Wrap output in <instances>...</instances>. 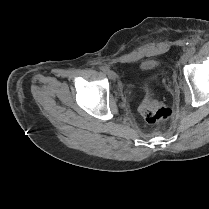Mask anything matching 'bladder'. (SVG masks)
Returning a JSON list of instances; mask_svg holds the SVG:
<instances>
[{
  "label": "bladder",
  "mask_w": 209,
  "mask_h": 209,
  "mask_svg": "<svg viewBox=\"0 0 209 209\" xmlns=\"http://www.w3.org/2000/svg\"><path fill=\"white\" fill-rule=\"evenodd\" d=\"M157 65V61L154 59H146L143 60L140 64L141 69L143 70H151L153 68H155V66Z\"/></svg>",
  "instance_id": "31cf9c89"
}]
</instances>
